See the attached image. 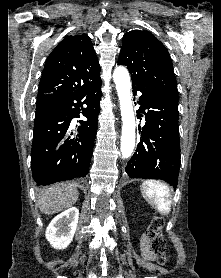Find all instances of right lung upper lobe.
<instances>
[{"label":"right lung upper lobe","instance_id":"cb5924a9","mask_svg":"<svg viewBox=\"0 0 221 278\" xmlns=\"http://www.w3.org/2000/svg\"><path fill=\"white\" fill-rule=\"evenodd\" d=\"M100 80L90 37L74 34L63 39L47 58L37 99L79 90Z\"/></svg>","mask_w":221,"mask_h":278}]
</instances>
